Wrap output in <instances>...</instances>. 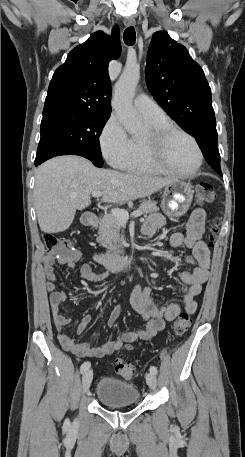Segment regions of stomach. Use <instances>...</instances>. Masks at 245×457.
Wrapping results in <instances>:
<instances>
[{"label":"stomach","instance_id":"obj_1","mask_svg":"<svg viewBox=\"0 0 245 457\" xmlns=\"http://www.w3.org/2000/svg\"><path fill=\"white\" fill-rule=\"evenodd\" d=\"M194 190L190 182L173 180L164 186L162 208L165 214L177 218L187 212L193 198Z\"/></svg>","mask_w":245,"mask_h":457}]
</instances>
